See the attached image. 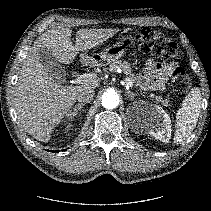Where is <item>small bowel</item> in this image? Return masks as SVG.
<instances>
[{
	"mask_svg": "<svg viewBox=\"0 0 211 211\" xmlns=\"http://www.w3.org/2000/svg\"><path fill=\"white\" fill-rule=\"evenodd\" d=\"M174 68V63H161L149 59L145 62L144 71L138 76V80L143 88L163 91L167 86L168 77Z\"/></svg>",
	"mask_w": 211,
	"mask_h": 211,
	"instance_id": "1",
	"label": "small bowel"
}]
</instances>
